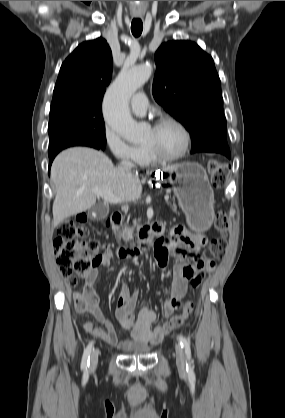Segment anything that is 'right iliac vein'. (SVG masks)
<instances>
[{
	"label": "right iliac vein",
	"mask_w": 285,
	"mask_h": 418,
	"mask_svg": "<svg viewBox=\"0 0 285 418\" xmlns=\"http://www.w3.org/2000/svg\"><path fill=\"white\" fill-rule=\"evenodd\" d=\"M99 350L95 349L91 354L90 370L93 371L98 364Z\"/></svg>",
	"instance_id": "right-iliac-vein-1"
}]
</instances>
